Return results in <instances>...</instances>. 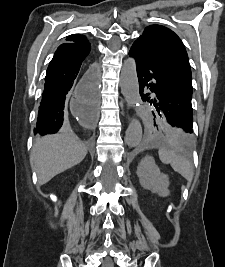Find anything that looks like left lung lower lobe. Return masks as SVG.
<instances>
[{"label":"left lung lower lobe","instance_id":"left-lung-lower-lobe-1","mask_svg":"<svg viewBox=\"0 0 225 267\" xmlns=\"http://www.w3.org/2000/svg\"><path fill=\"white\" fill-rule=\"evenodd\" d=\"M129 55L134 58L142 100L153 105L158 118L171 121L192 134V82L189 61L156 52L138 39ZM153 93H145V90Z\"/></svg>","mask_w":225,"mask_h":267}]
</instances>
